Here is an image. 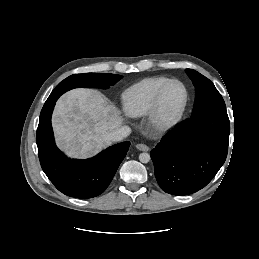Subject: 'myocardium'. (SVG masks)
I'll list each match as a JSON object with an SVG mask.
<instances>
[{
	"instance_id": "myocardium-1",
	"label": "myocardium",
	"mask_w": 259,
	"mask_h": 259,
	"mask_svg": "<svg viewBox=\"0 0 259 259\" xmlns=\"http://www.w3.org/2000/svg\"><path fill=\"white\" fill-rule=\"evenodd\" d=\"M177 83L182 86L184 90V100L177 110V112L169 118H166L162 114V98L166 88L173 84ZM189 103V91L187 86L178 79H169L164 84L160 86L157 90L153 106L149 112V124L151 128L159 133H164L172 130L183 118L185 111Z\"/></svg>"
}]
</instances>
